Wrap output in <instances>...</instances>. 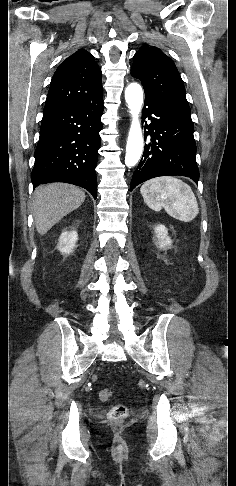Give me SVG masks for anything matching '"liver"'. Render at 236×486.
<instances>
[{
  "label": "liver",
  "mask_w": 236,
  "mask_h": 486,
  "mask_svg": "<svg viewBox=\"0 0 236 486\" xmlns=\"http://www.w3.org/2000/svg\"><path fill=\"white\" fill-rule=\"evenodd\" d=\"M85 200L80 188L66 183H51L35 189L32 202L36 230L46 234L60 219Z\"/></svg>",
  "instance_id": "1"
}]
</instances>
